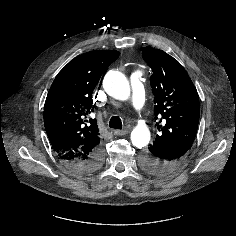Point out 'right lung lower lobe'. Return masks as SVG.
Instances as JSON below:
<instances>
[{
	"mask_svg": "<svg viewBox=\"0 0 236 236\" xmlns=\"http://www.w3.org/2000/svg\"><path fill=\"white\" fill-rule=\"evenodd\" d=\"M103 160H104V152L102 147H99L95 149L94 152L86 160H81V161L62 160V161L67 165L69 169H71L74 172L92 173L97 171L101 167Z\"/></svg>",
	"mask_w": 236,
	"mask_h": 236,
	"instance_id": "right-lung-lower-lobe-1",
	"label": "right lung lower lobe"
}]
</instances>
